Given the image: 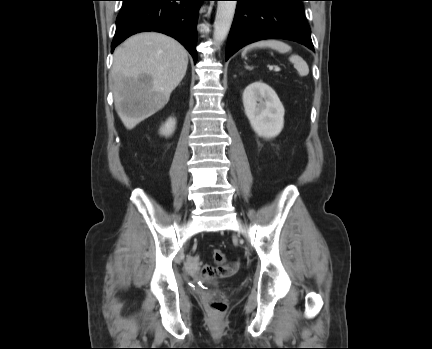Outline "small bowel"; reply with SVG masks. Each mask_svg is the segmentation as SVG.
Listing matches in <instances>:
<instances>
[{
    "mask_svg": "<svg viewBox=\"0 0 432 349\" xmlns=\"http://www.w3.org/2000/svg\"><path fill=\"white\" fill-rule=\"evenodd\" d=\"M238 268V262H233L222 267H212L209 265H205L202 268V275L207 280L228 278L234 275L237 272Z\"/></svg>",
    "mask_w": 432,
    "mask_h": 349,
    "instance_id": "small-bowel-1",
    "label": "small bowel"
}]
</instances>
